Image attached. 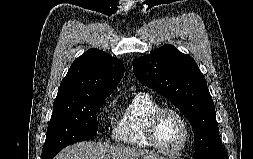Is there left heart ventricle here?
<instances>
[{
	"label": "left heart ventricle",
	"instance_id": "left-heart-ventricle-1",
	"mask_svg": "<svg viewBox=\"0 0 253 159\" xmlns=\"http://www.w3.org/2000/svg\"><path fill=\"white\" fill-rule=\"evenodd\" d=\"M184 127L173 113H164L157 124V138L160 145L168 150H175L184 140Z\"/></svg>",
	"mask_w": 253,
	"mask_h": 159
}]
</instances>
